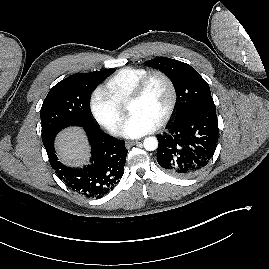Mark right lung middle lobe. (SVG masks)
Instances as JSON below:
<instances>
[{
    "mask_svg": "<svg viewBox=\"0 0 269 269\" xmlns=\"http://www.w3.org/2000/svg\"><path fill=\"white\" fill-rule=\"evenodd\" d=\"M113 71L111 68L74 74L57 83L49 91L40 112L44 145L65 127H98L89 110V97L94 88Z\"/></svg>",
    "mask_w": 269,
    "mask_h": 269,
    "instance_id": "1",
    "label": "right lung middle lobe"
}]
</instances>
